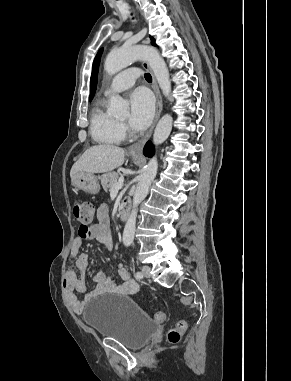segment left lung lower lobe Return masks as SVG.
Returning <instances> with one entry per match:
<instances>
[{"instance_id": "0a47b994", "label": "left lung lower lobe", "mask_w": 291, "mask_h": 381, "mask_svg": "<svg viewBox=\"0 0 291 381\" xmlns=\"http://www.w3.org/2000/svg\"><path fill=\"white\" fill-rule=\"evenodd\" d=\"M143 153L147 157H152V155L154 154V148H153V145L151 144V142H148L145 145Z\"/></svg>"}]
</instances>
